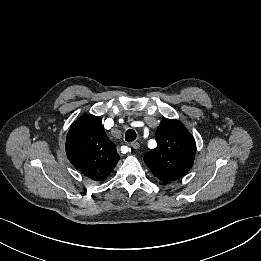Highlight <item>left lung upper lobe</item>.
I'll return each mask as SVG.
<instances>
[{"label": "left lung upper lobe", "mask_w": 261, "mask_h": 261, "mask_svg": "<svg viewBox=\"0 0 261 261\" xmlns=\"http://www.w3.org/2000/svg\"><path fill=\"white\" fill-rule=\"evenodd\" d=\"M157 147L144 156L152 173L164 183L184 176L192 167L196 145L193 136L184 125L164 118L156 133Z\"/></svg>", "instance_id": "5c2ea615"}]
</instances>
